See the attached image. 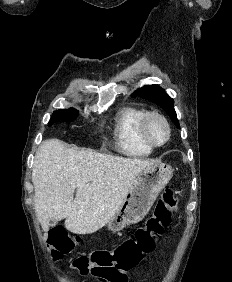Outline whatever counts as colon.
I'll return each mask as SVG.
<instances>
[{"label":"colon","mask_w":232,"mask_h":282,"mask_svg":"<svg viewBox=\"0 0 232 282\" xmlns=\"http://www.w3.org/2000/svg\"><path fill=\"white\" fill-rule=\"evenodd\" d=\"M176 192L166 187L155 207L154 213L145 224L138 228L132 237L123 240L111 250L100 249L88 255L73 259L71 267L81 276L95 278L111 275L115 270L124 271L135 268L143 258L152 253L159 236L171 223V216L177 209ZM77 243L61 226L54 227L49 232V254L56 261L69 253Z\"/></svg>","instance_id":"5ec220e1"}]
</instances>
